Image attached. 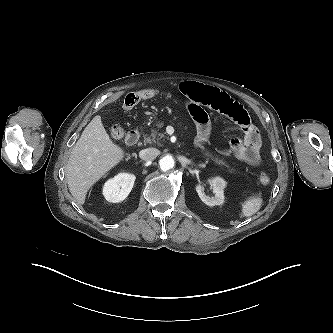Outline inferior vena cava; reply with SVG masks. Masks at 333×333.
I'll return each instance as SVG.
<instances>
[{"mask_svg":"<svg viewBox=\"0 0 333 333\" xmlns=\"http://www.w3.org/2000/svg\"><path fill=\"white\" fill-rule=\"evenodd\" d=\"M141 157L144 160H154L158 155H160V151L156 148H147L140 152Z\"/></svg>","mask_w":333,"mask_h":333,"instance_id":"1","label":"inferior vena cava"}]
</instances>
